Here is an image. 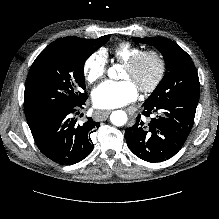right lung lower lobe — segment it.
<instances>
[{"instance_id":"right-lung-lower-lobe-1","label":"right lung lower lobe","mask_w":219,"mask_h":219,"mask_svg":"<svg viewBox=\"0 0 219 219\" xmlns=\"http://www.w3.org/2000/svg\"><path fill=\"white\" fill-rule=\"evenodd\" d=\"M85 101L75 107L47 108L27 117L38 148L52 161L71 165L86 158L93 150L90 135L100 123L88 117L82 124L76 118Z\"/></svg>"}]
</instances>
